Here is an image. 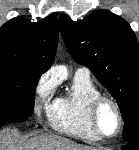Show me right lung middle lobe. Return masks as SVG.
<instances>
[{
	"label": "right lung middle lobe",
	"mask_w": 139,
	"mask_h": 150,
	"mask_svg": "<svg viewBox=\"0 0 139 150\" xmlns=\"http://www.w3.org/2000/svg\"><path fill=\"white\" fill-rule=\"evenodd\" d=\"M40 74L14 66H0V126L26 121L33 112Z\"/></svg>",
	"instance_id": "obj_1"
}]
</instances>
